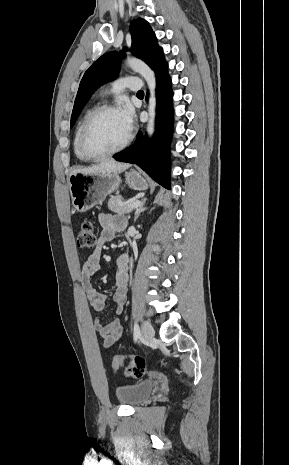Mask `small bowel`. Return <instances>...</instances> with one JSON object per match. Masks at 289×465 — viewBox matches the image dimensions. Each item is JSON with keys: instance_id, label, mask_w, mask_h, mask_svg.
I'll return each mask as SVG.
<instances>
[{"instance_id": "c3829d8e", "label": "small bowel", "mask_w": 289, "mask_h": 465, "mask_svg": "<svg viewBox=\"0 0 289 465\" xmlns=\"http://www.w3.org/2000/svg\"><path fill=\"white\" fill-rule=\"evenodd\" d=\"M99 222L102 230L100 232L97 245L92 254L84 256L80 272V281L95 312H100L105 308L108 295L98 292L92 282L94 275L100 270L102 246L113 240L117 233L125 228V221L122 217L113 214L102 213L99 215ZM129 257L121 255L117 261L115 273V289L111 294V299L115 304V313L120 315L123 311L127 295V285L129 280ZM95 329L103 338V347L110 348L123 335V327L117 317L104 323L98 318L94 321Z\"/></svg>"}]
</instances>
